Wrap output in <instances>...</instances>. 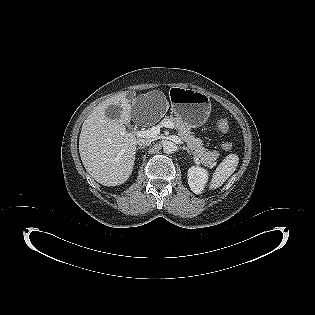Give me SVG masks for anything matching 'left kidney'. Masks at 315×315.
I'll list each match as a JSON object with an SVG mask.
<instances>
[{
  "mask_svg": "<svg viewBox=\"0 0 315 315\" xmlns=\"http://www.w3.org/2000/svg\"><path fill=\"white\" fill-rule=\"evenodd\" d=\"M208 173L200 167H191L188 170V184L191 190L196 194H201L207 183Z\"/></svg>",
  "mask_w": 315,
  "mask_h": 315,
  "instance_id": "obj_1",
  "label": "left kidney"
}]
</instances>
